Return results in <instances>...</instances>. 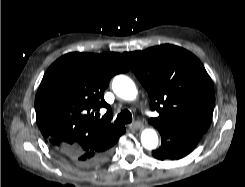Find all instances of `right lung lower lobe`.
Wrapping results in <instances>:
<instances>
[{
  "label": "right lung lower lobe",
  "mask_w": 245,
  "mask_h": 187,
  "mask_svg": "<svg viewBox=\"0 0 245 187\" xmlns=\"http://www.w3.org/2000/svg\"><path fill=\"white\" fill-rule=\"evenodd\" d=\"M124 132L125 127L119 132L113 133V138H109L107 135H99L91 138L88 148L74 145L56 153L63 162L75 168H96L108 160L112 147Z\"/></svg>",
  "instance_id": "right-lung-lower-lobe-1"
}]
</instances>
